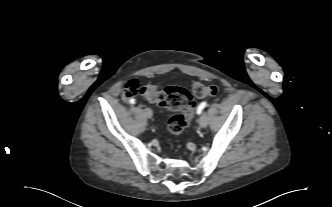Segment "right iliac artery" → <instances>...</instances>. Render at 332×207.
Instances as JSON below:
<instances>
[{"label": "right iliac artery", "instance_id": "82829eb1", "mask_svg": "<svg viewBox=\"0 0 332 207\" xmlns=\"http://www.w3.org/2000/svg\"><path fill=\"white\" fill-rule=\"evenodd\" d=\"M129 102L130 104H135V99H130Z\"/></svg>", "mask_w": 332, "mask_h": 207}]
</instances>
